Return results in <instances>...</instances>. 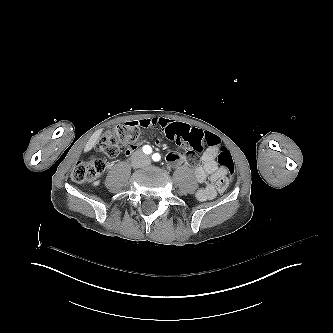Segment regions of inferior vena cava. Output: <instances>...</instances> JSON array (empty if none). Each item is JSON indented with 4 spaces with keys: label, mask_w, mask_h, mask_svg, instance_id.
<instances>
[{
    "label": "inferior vena cava",
    "mask_w": 333,
    "mask_h": 333,
    "mask_svg": "<svg viewBox=\"0 0 333 333\" xmlns=\"http://www.w3.org/2000/svg\"><path fill=\"white\" fill-rule=\"evenodd\" d=\"M138 154H142L143 157H145L146 159H148V158L143 154V152H142L141 150H138V151L134 152V154H133V158L136 157Z\"/></svg>",
    "instance_id": "1"
}]
</instances>
